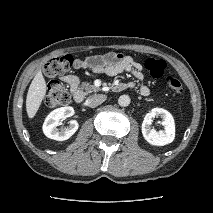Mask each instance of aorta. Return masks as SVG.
Listing matches in <instances>:
<instances>
[{"instance_id": "762f6f07", "label": "aorta", "mask_w": 213, "mask_h": 213, "mask_svg": "<svg viewBox=\"0 0 213 213\" xmlns=\"http://www.w3.org/2000/svg\"><path fill=\"white\" fill-rule=\"evenodd\" d=\"M118 103L122 107H126L130 104V97L128 95H121L118 99Z\"/></svg>"}]
</instances>
